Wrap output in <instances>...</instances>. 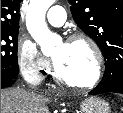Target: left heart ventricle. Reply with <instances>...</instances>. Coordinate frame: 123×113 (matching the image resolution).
<instances>
[{"label": "left heart ventricle", "instance_id": "obj_1", "mask_svg": "<svg viewBox=\"0 0 123 113\" xmlns=\"http://www.w3.org/2000/svg\"><path fill=\"white\" fill-rule=\"evenodd\" d=\"M53 59L60 72L70 80L84 83L94 75V55L85 42L58 45Z\"/></svg>", "mask_w": 123, "mask_h": 113}]
</instances>
